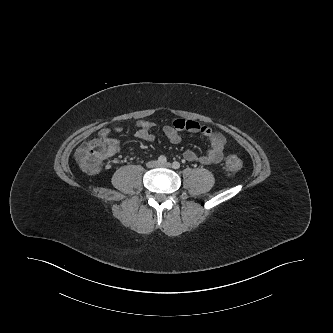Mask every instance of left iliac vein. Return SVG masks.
<instances>
[{"instance_id": "4c4485c4", "label": "left iliac vein", "mask_w": 333, "mask_h": 333, "mask_svg": "<svg viewBox=\"0 0 333 333\" xmlns=\"http://www.w3.org/2000/svg\"><path fill=\"white\" fill-rule=\"evenodd\" d=\"M161 166H163V167H170L171 166V164L170 163H165V164H162Z\"/></svg>"}]
</instances>
